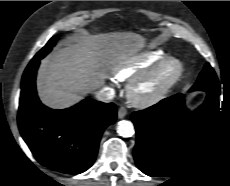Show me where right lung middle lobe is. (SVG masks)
<instances>
[{"label":"right lung middle lobe","mask_w":230,"mask_h":186,"mask_svg":"<svg viewBox=\"0 0 230 186\" xmlns=\"http://www.w3.org/2000/svg\"><path fill=\"white\" fill-rule=\"evenodd\" d=\"M57 40H58V37L53 36L48 41V43L34 56V58L31 61L35 62L45 57L51 51L52 47L55 45Z\"/></svg>","instance_id":"right-lung-middle-lobe-1"}]
</instances>
